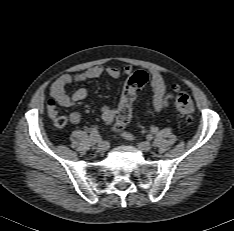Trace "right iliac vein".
<instances>
[{
    "mask_svg": "<svg viewBox=\"0 0 234 231\" xmlns=\"http://www.w3.org/2000/svg\"><path fill=\"white\" fill-rule=\"evenodd\" d=\"M108 148H109V143L107 141H101L96 147L97 152L99 153L106 152Z\"/></svg>",
    "mask_w": 234,
    "mask_h": 231,
    "instance_id": "1",
    "label": "right iliac vein"
}]
</instances>
